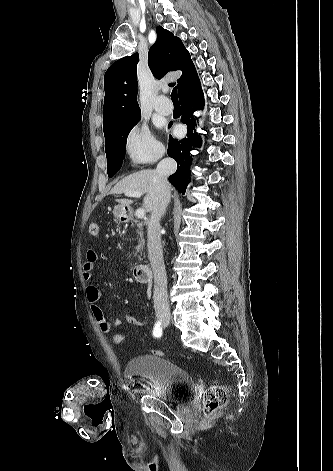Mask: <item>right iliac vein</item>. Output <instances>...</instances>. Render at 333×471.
Returning a JSON list of instances; mask_svg holds the SVG:
<instances>
[{
  "label": "right iliac vein",
  "mask_w": 333,
  "mask_h": 471,
  "mask_svg": "<svg viewBox=\"0 0 333 471\" xmlns=\"http://www.w3.org/2000/svg\"><path fill=\"white\" fill-rule=\"evenodd\" d=\"M160 319H161L162 322L165 323L170 319V317L169 316H162Z\"/></svg>",
  "instance_id": "1"
}]
</instances>
